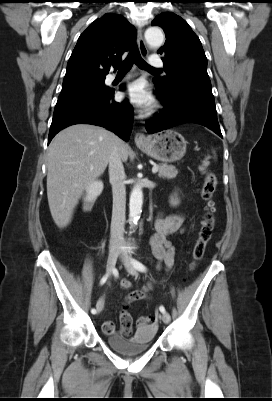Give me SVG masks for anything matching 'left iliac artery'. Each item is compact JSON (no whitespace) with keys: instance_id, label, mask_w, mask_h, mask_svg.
Masks as SVG:
<instances>
[{"instance_id":"obj_1","label":"left iliac artery","mask_w":272,"mask_h":401,"mask_svg":"<svg viewBox=\"0 0 272 401\" xmlns=\"http://www.w3.org/2000/svg\"><path fill=\"white\" fill-rule=\"evenodd\" d=\"M132 263H133V266H134L138 271H140V272H146L147 268H146L141 262H139V261H137V260H133ZM159 310H160L162 313H165V312H166L164 306H160V307H159Z\"/></svg>"}]
</instances>
